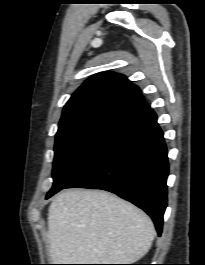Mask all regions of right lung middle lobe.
<instances>
[{
  "label": "right lung middle lobe",
  "mask_w": 205,
  "mask_h": 265,
  "mask_svg": "<svg viewBox=\"0 0 205 265\" xmlns=\"http://www.w3.org/2000/svg\"><path fill=\"white\" fill-rule=\"evenodd\" d=\"M126 126L95 124L56 134L53 162V186L47 195L63 189Z\"/></svg>",
  "instance_id": "obj_1"
}]
</instances>
